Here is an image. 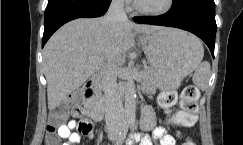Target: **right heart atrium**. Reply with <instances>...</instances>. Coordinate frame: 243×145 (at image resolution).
I'll return each instance as SVG.
<instances>
[{
  "label": "right heart atrium",
  "mask_w": 243,
  "mask_h": 145,
  "mask_svg": "<svg viewBox=\"0 0 243 145\" xmlns=\"http://www.w3.org/2000/svg\"><path fill=\"white\" fill-rule=\"evenodd\" d=\"M117 1L125 5H128L131 2V0H117Z\"/></svg>",
  "instance_id": "1"
}]
</instances>
